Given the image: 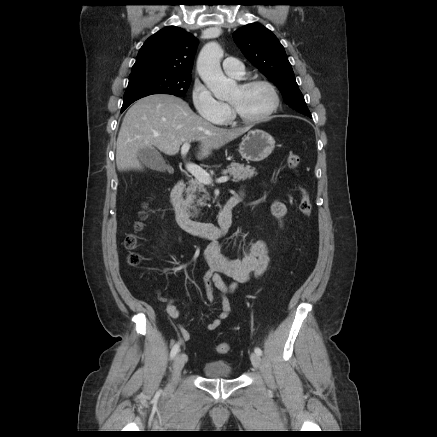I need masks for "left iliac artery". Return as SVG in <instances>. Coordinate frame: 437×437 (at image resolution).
Here are the masks:
<instances>
[{
  "label": "left iliac artery",
  "instance_id": "obj_1",
  "mask_svg": "<svg viewBox=\"0 0 437 437\" xmlns=\"http://www.w3.org/2000/svg\"><path fill=\"white\" fill-rule=\"evenodd\" d=\"M254 352L258 355H262V350L259 347H255Z\"/></svg>",
  "mask_w": 437,
  "mask_h": 437
}]
</instances>
